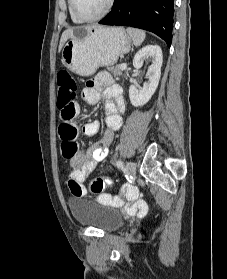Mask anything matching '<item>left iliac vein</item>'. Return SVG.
I'll return each instance as SVG.
<instances>
[{"label": "left iliac vein", "instance_id": "obj_1", "mask_svg": "<svg viewBox=\"0 0 227 279\" xmlns=\"http://www.w3.org/2000/svg\"><path fill=\"white\" fill-rule=\"evenodd\" d=\"M126 172L128 175L133 176L136 172V165L132 161L126 163Z\"/></svg>", "mask_w": 227, "mask_h": 279}]
</instances>
